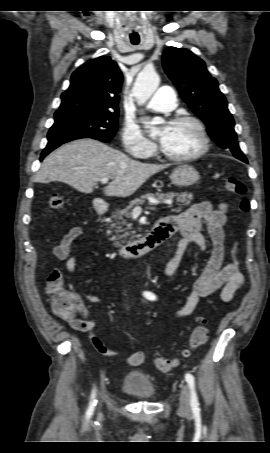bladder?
I'll use <instances>...</instances> for the list:
<instances>
[{
    "instance_id": "31cf9c89",
    "label": "bladder",
    "mask_w": 270,
    "mask_h": 453,
    "mask_svg": "<svg viewBox=\"0 0 270 453\" xmlns=\"http://www.w3.org/2000/svg\"><path fill=\"white\" fill-rule=\"evenodd\" d=\"M122 390L142 401L153 399L156 393L150 376L140 370L130 371L124 376Z\"/></svg>"
}]
</instances>
